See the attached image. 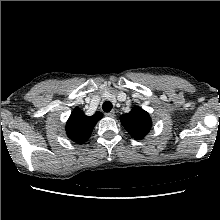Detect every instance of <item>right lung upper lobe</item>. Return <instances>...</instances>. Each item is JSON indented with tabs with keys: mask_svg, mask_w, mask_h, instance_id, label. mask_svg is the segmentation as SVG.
<instances>
[{
	"mask_svg": "<svg viewBox=\"0 0 220 220\" xmlns=\"http://www.w3.org/2000/svg\"><path fill=\"white\" fill-rule=\"evenodd\" d=\"M102 117L101 112L86 116L80 108L76 107L66 124L67 136L78 144L85 143L89 139L94 126Z\"/></svg>",
	"mask_w": 220,
	"mask_h": 220,
	"instance_id": "right-lung-upper-lobe-1",
	"label": "right lung upper lobe"
}]
</instances>
